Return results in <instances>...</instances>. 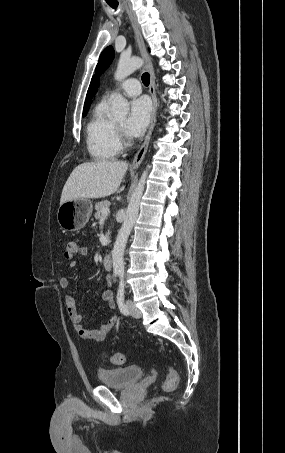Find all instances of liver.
I'll return each mask as SVG.
<instances>
[{
	"instance_id": "obj_1",
	"label": "liver",
	"mask_w": 285,
	"mask_h": 453,
	"mask_svg": "<svg viewBox=\"0 0 285 453\" xmlns=\"http://www.w3.org/2000/svg\"><path fill=\"white\" fill-rule=\"evenodd\" d=\"M128 169L124 161L100 160L78 165L66 181L60 204L79 198H104L124 189L119 188Z\"/></svg>"
}]
</instances>
